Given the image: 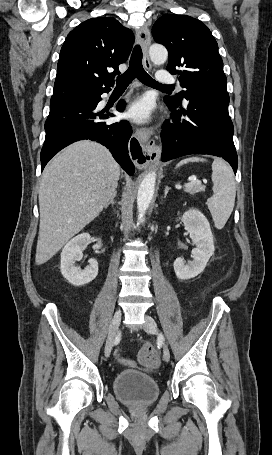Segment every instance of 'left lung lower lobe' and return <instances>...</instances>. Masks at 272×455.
<instances>
[{
  "mask_svg": "<svg viewBox=\"0 0 272 455\" xmlns=\"http://www.w3.org/2000/svg\"><path fill=\"white\" fill-rule=\"evenodd\" d=\"M187 109L164 98L172 111L162 130V161L189 154H209L225 159L237 171L234 128L224 91H198L186 98Z\"/></svg>",
  "mask_w": 272,
  "mask_h": 455,
  "instance_id": "0a47b994",
  "label": "left lung lower lobe"
}]
</instances>
